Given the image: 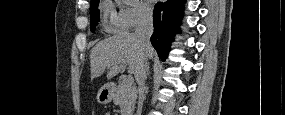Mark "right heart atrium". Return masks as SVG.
<instances>
[{
	"instance_id": "d8ad5b80",
	"label": "right heart atrium",
	"mask_w": 285,
	"mask_h": 115,
	"mask_svg": "<svg viewBox=\"0 0 285 115\" xmlns=\"http://www.w3.org/2000/svg\"><path fill=\"white\" fill-rule=\"evenodd\" d=\"M122 28L125 30L134 29L148 24L151 21L152 13L148 6L140 1L123 6L119 11Z\"/></svg>"
}]
</instances>
